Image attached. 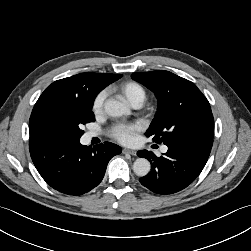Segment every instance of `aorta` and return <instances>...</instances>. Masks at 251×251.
<instances>
[{
	"label": "aorta",
	"mask_w": 251,
	"mask_h": 251,
	"mask_svg": "<svg viewBox=\"0 0 251 251\" xmlns=\"http://www.w3.org/2000/svg\"><path fill=\"white\" fill-rule=\"evenodd\" d=\"M105 113L111 117H121L130 114V109L124 103L109 99L104 104ZM150 162L145 158H138L133 164V171L137 176L144 177L150 172Z\"/></svg>",
	"instance_id": "1"
}]
</instances>
